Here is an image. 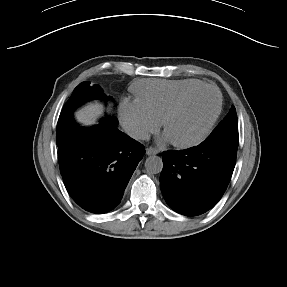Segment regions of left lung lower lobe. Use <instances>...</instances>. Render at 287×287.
Masks as SVG:
<instances>
[{
    "label": "left lung lower lobe",
    "mask_w": 287,
    "mask_h": 287,
    "mask_svg": "<svg viewBox=\"0 0 287 287\" xmlns=\"http://www.w3.org/2000/svg\"><path fill=\"white\" fill-rule=\"evenodd\" d=\"M161 192L176 212L195 216L211 209L224 194L236 157L203 141L198 146L163 152Z\"/></svg>",
    "instance_id": "left-lung-lower-lobe-1"
}]
</instances>
